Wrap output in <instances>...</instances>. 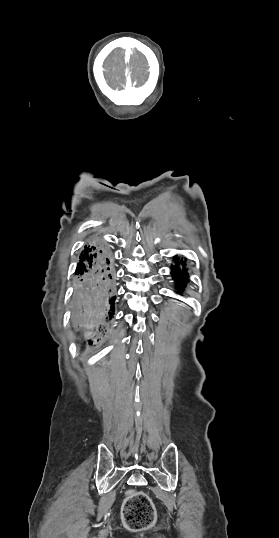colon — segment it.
<instances>
[{
    "label": "colon",
    "instance_id": "obj_1",
    "mask_svg": "<svg viewBox=\"0 0 279 538\" xmlns=\"http://www.w3.org/2000/svg\"><path fill=\"white\" fill-rule=\"evenodd\" d=\"M122 518L131 531L151 526L155 521V508L151 499L143 492H130L123 504Z\"/></svg>",
    "mask_w": 279,
    "mask_h": 538
}]
</instances>
